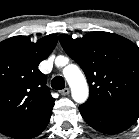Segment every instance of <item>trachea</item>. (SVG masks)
<instances>
[{
  "instance_id": "trachea-1",
  "label": "trachea",
  "mask_w": 139,
  "mask_h": 139,
  "mask_svg": "<svg viewBox=\"0 0 139 139\" xmlns=\"http://www.w3.org/2000/svg\"><path fill=\"white\" fill-rule=\"evenodd\" d=\"M51 87L56 90L64 89L65 81L62 76H55L51 81Z\"/></svg>"
}]
</instances>
